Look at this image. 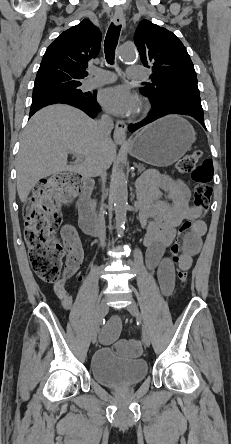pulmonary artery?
<instances>
[{"instance_id":"pulmonary-artery-1","label":"pulmonary artery","mask_w":231,"mask_h":444,"mask_svg":"<svg viewBox=\"0 0 231 444\" xmlns=\"http://www.w3.org/2000/svg\"><path fill=\"white\" fill-rule=\"evenodd\" d=\"M94 73V77L88 79L84 83L85 89H93L98 86L114 82L116 80V75L108 70H96L91 69ZM127 75L132 80H141L145 77V69L140 66H132L127 69Z\"/></svg>"}]
</instances>
